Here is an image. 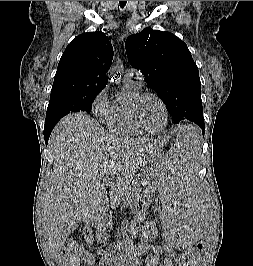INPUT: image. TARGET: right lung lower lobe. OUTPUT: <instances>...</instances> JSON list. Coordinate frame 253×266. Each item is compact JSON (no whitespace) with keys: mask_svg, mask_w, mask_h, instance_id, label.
<instances>
[{"mask_svg":"<svg viewBox=\"0 0 253 266\" xmlns=\"http://www.w3.org/2000/svg\"><path fill=\"white\" fill-rule=\"evenodd\" d=\"M57 122H54V123H45V127H44V139H45V143L47 144L48 143V139H49V136L55 126Z\"/></svg>","mask_w":253,"mask_h":266,"instance_id":"right-lung-lower-lobe-1","label":"right lung lower lobe"}]
</instances>
